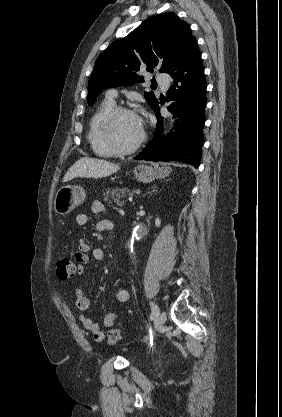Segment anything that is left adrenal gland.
I'll list each match as a JSON object with an SVG mask.
<instances>
[{"label":"left adrenal gland","instance_id":"1","mask_svg":"<svg viewBox=\"0 0 282 417\" xmlns=\"http://www.w3.org/2000/svg\"><path fill=\"white\" fill-rule=\"evenodd\" d=\"M151 188H153V190H151V192H155V188H156L155 184H154V186H151Z\"/></svg>","mask_w":282,"mask_h":417}]
</instances>
